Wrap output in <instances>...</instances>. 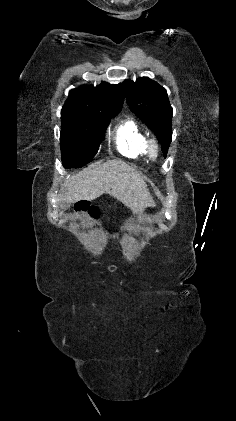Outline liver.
<instances>
[{
	"instance_id": "liver-1",
	"label": "liver",
	"mask_w": 236,
	"mask_h": 421,
	"mask_svg": "<svg viewBox=\"0 0 236 421\" xmlns=\"http://www.w3.org/2000/svg\"><path fill=\"white\" fill-rule=\"evenodd\" d=\"M64 186L61 196L67 202L94 200L103 192H108L129 206L132 213H142L147 206H155L144 176L135 166L123 160L89 164L66 180Z\"/></svg>"
}]
</instances>
